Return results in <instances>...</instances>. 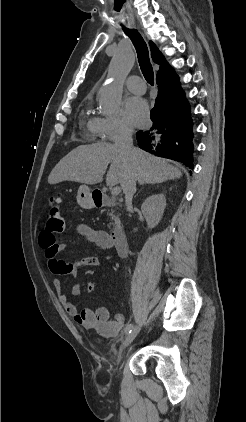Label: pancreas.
Wrapping results in <instances>:
<instances>
[{
  "label": "pancreas",
  "instance_id": "pancreas-1",
  "mask_svg": "<svg viewBox=\"0 0 246 422\" xmlns=\"http://www.w3.org/2000/svg\"><path fill=\"white\" fill-rule=\"evenodd\" d=\"M111 218H112V220H114L115 222H119V220H118V217L117 216H114L113 214H111Z\"/></svg>",
  "mask_w": 246,
  "mask_h": 422
}]
</instances>
